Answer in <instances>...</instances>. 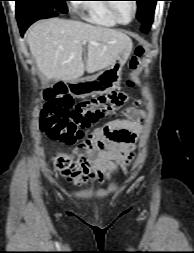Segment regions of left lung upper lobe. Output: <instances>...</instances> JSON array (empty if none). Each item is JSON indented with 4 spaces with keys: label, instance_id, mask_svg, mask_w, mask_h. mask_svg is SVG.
<instances>
[{
    "label": "left lung upper lobe",
    "instance_id": "1",
    "mask_svg": "<svg viewBox=\"0 0 194 253\" xmlns=\"http://www.w3.org/2000/svg\"><path fill=\"white\" fill-rule=\"evenodd\" d=\"M138 3L137 19L143 23L149 14L155 10L156 2L158 0H136Z\"/></svg>",
    "mask_w": 194,
    "mask_h": 253
}]
</instances>
